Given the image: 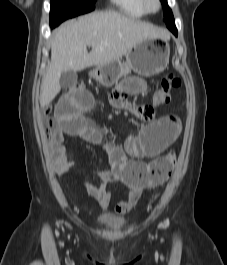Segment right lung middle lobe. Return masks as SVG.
Listing matches in <instances>:
<instances>
[{
	"mask_svg": "<svg viewBox=\"0 0 227 265\" xmlns=\"http://www.w3.org/2000/svg\"><path fill=\"white\" fill-rule=\"evenodd\" d=\"M95 2L96 0H51V27H55L67 18L92 11Z\"/></svg>",
	"mask_w": 227,
	"mask_h": 265,
	"instance_id": "dd1d6c3e",
	"label": "right lung middle lobe"
}]
</instances>
